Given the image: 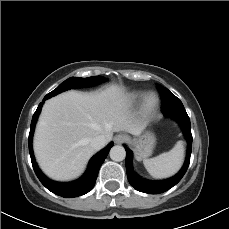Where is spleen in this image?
I'll return each instance as SVG.
<instances>
[{
    "label": "spleen",
    "mask_w": 229,
    "mask_h": 229,
    "mask_svg": "<svg viewBox=\"0 0 229 229\" xmlns=\"http://www.w3.org/2000/svg\"><path fill=\"white\" fill-rule=\"evenodd\" d=\"M183 159L184 146L183 142L179 141L170 151L150 159H144L143 164L151 176L168 178L180 169Z\"/></svg>",
    "instance_id": "obj_1"
}]
</instances>
